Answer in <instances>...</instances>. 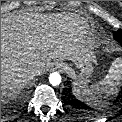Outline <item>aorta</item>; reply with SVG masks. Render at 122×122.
<instances>
[{
	"label": "aorta",
	"mask_w": 122,
	"mask_h": 122,
	"mask_svg": "<svg viewBox=\"0 0 122 122\" xmlns=\"http://www.w3.org/2000/svg\"><path fill=\"white\" fill-rule=\"evenodd\" d=\"M49 82L53 86H58L61 83V76L57 72H53L49 76Z\"/></svg>",
	"instance_id": "aorta-1"
}]
</instances>
